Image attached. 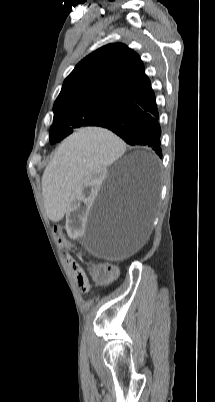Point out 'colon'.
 Returning a JSON list of instances; mask_svg holds the SVG:
<instances>
[{
    "label": "colon",
    "instance_id": "1",
    "mask_svg": "<svg viewBox=\"0 0 215 402\" xmlns=\"http://www.w3.org/2000/svg\"><path fill=\"white\" fill-rule=\"evenodd\" d=\"M53 227L55 232L54 238L60 246H64L65 252L67 254H72L73 252L77 253L79 248L75 246L71 240L67 239L63 232H60V230L63 228V225L57 222ZM70 264L73 270L78 274L83 271L82 267L76 261L70 260ZM94 274L98 282H108L118 275V270L112 264H102L94 270Z\"/></svg>",
    "mask_w": 215,
    "mask_h": 402
}]
</instances>
